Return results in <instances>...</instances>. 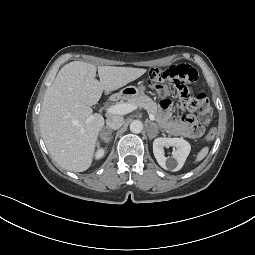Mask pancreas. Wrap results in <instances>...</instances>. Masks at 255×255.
I'll list each match as a JSON object with an SVG mask.
<instances>
[{
    "mask_svg": "<svg viewBox=\"0 0 255 255\" xmlns=\"http://www.w3.org/2000/svg\"><path fill=\"white\" fill-rule=\"evenodd\" d=\"M127 102L134 104L137 107L144 108L148 113L153 114L158 118L157 104L147 95L141 94L132 98L127 99Z\"/></svg>",
    "mask_w": 255,
    "mask_h": 255,
    "instance_id": "1",
    "label": "pancreas"
}]
</instances>
